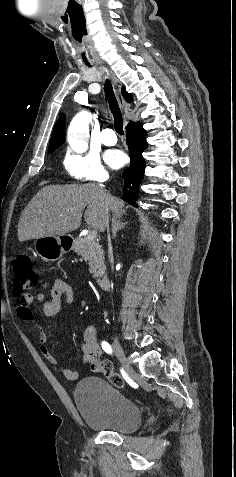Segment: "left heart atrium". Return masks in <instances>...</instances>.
Instances as JSON below:
<instances>
[{"instance_id": "1", "label": "left heart atrium", "mask_w": 236, "mask_h": 477, "mask_svg": "<svg viewBox=\"0 0 236 477\" xmlns=\"http://www.w3.org/2000/svg\"><path fill=\"white\" fill-rule=\"evenodd\" d=\"M106 161L113 168H119L126 162L125 154L120 150H111L106 153Z\"/></svg>"}]
</instances>
